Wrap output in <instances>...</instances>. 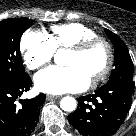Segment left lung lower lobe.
Listing matches in <instances>:
<instances>
[{
  "label": "left lung lower lobe",
  "mask_w": 136,
  "mask_h": 136,
  "mask_svg": "<svg viewBox=\"0 0 136 136\" xmlns=\"http://www.w3.org/2000/svg\"><path fill=\"white\" fill-rule=\"evenodd\" d=\"M135 82L118 80L104 84L94 94L78 98L69 122L83 136H110L123 123L131 106Z\"/></svg>",
  "instance_id": "left-lung-lower-lobe-1"
}]
</instances>
